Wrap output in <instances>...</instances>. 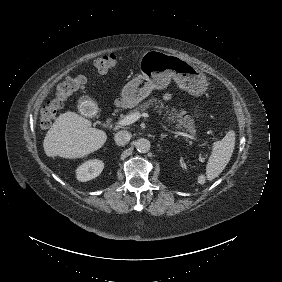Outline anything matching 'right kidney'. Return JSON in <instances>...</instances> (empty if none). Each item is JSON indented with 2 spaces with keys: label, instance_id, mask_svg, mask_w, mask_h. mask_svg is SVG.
I'll use <instances>...</instances> for the list:
<instances>
[{
  "label": "right kidney",
  "instance_id": "ca27d5eb",
  "mask_svg": "<svg viewBox=\"0 0 282 282\" xmlns=\"http://www.w3.org/2000/svg\"><path fill=\"white\" fill-rule=\"evenodd\" d=\"M103 169V161L97 159L88 160L76 169V178L81 182H86L99 176Z\"/></svg>",
  "mask_w": 282,
  "mask_h": 282
}]
</instances>
